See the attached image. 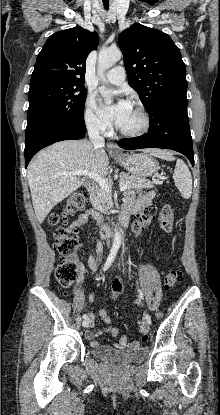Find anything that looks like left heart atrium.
Masks as SVG:
<instances>
[{
	"label": "left heart atrium",
	"mask_w": 220,
	"mask_h": 415,
	"mask_svg": "<svg viewBox=\"0 0 220 415\" xmlns=\"http://www.w3.org/2000/svg\"><path fill=\"white\" fill-rule=\"evenodd\" d=\"M116 93L108 90H101L99 92L100 114L101 116L112 123L119 126L128 114L130 103L121 97L108 103L106 100L110 96H114Z\"/></svg>",
	"instance_id": "obj_1"
}]
</instances>
